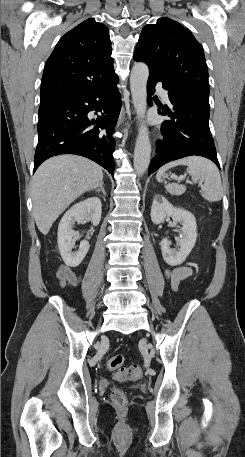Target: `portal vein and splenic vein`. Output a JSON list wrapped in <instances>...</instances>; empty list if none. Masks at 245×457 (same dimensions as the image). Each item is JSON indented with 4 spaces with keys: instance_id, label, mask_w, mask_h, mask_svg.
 Listing matches in <instances>:
<instances>
[{
    "instance_id": "18ae733b",
    "label": "portal vein and splenic vein",
    "mask_w": 245,
    "mask_h": 457,
    "mask_svg": "<svg viewBox=\"0 0 245 457\" xmlns=\"http://www.w3.org/2000/svg\"><path fill=\"white\" fill-rule=\"evenodd\" d=\"M182 178H183V176H182ZM202 182H203V180H200L199 184H202Z\"/></svg>"
}]
</instances>
